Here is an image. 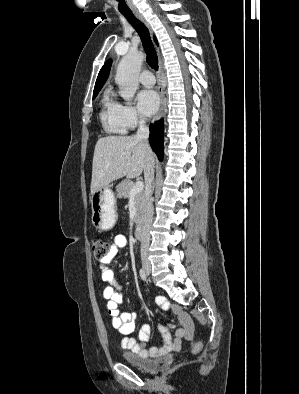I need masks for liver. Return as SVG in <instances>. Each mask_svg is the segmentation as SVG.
Returning <instances> with one entry per match:
<instances>
[{
    "instance_id": "6515ba94",
    "label": "liver",
    "mask_w": 299,
    "mask_h": 394,
    "mask_svg": "<svg viewBox=\"0 0 299 394\" xmlns=\"http://www.w3.org/2000/svg\"><path fill=\"white\" fill-rule=\"evenodd\" d=\"M150 159L154 161L151 149H146L135 136L99 138L94 149L91 193L122 177H139Z\"/></svg>"
}]
</instances>
